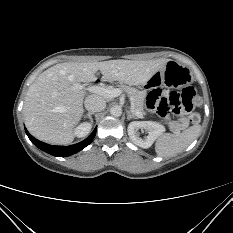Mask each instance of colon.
Listing matches in <instances>:
<instances>
[{
	"label": "colon",
	"instance_id": "5ec220e1",
	"mask_svg": "<svg viewBox=\"0 0 233 233\" xmlns=\"http://www.w3.org/2000/svg\"><path fill=\"white\" fill-rule=\"evenodd\" d=\"M199 96L192 86L185 87L181 92L153 89L149 92L146 106L162 118H171L183 113L189 115L191 123H198L200 115L193 111Z\"/></svg>",
	"mask_w": 233,
	"mask_h": 233
}]
</instances>
